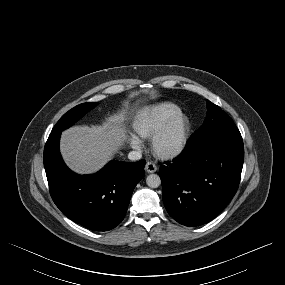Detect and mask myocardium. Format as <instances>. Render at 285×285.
Segmentation results:
<instances>
[{
	"label": "myocardium",
	"instance_id": "f54148a6",
	"mask_svg": "<svg viewBox=\"0 0 285 285\" xmlns=\"http://www.w3.org/2000/svg\"><path fill=\"white\" fill-rule=\"evenodd\" d=\"M182 123V132L178 141L173 146H166L164 141L172 127ZM191 134V123L188 116L182 111L172 115L152 136L151 147L153 152L162 159H174L180 156L187 147Z\"/></svg>",
	"mask_w": 285,
	"mask_h": 285
}]
</instances>
